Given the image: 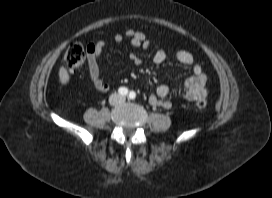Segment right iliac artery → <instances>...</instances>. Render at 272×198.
<instances>
[{"mask_svg":"<svg viewBox=\"0 0 272 198\" xmlns=\"http://www.w3.org/2000/svg\"><path fill=\"white\" fill-rule=\"evenodd\" d=\"M119 94L122 96H126L128 94V89L125 87H120L118 90Z\"/></svg>","mask_w":272,"mask_h":198,"instance_id":"1","label":"right iliac artery"}]
</instances>
